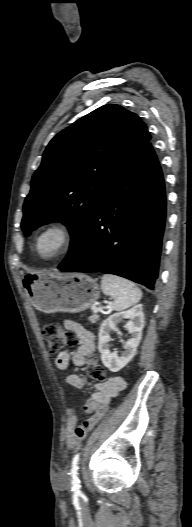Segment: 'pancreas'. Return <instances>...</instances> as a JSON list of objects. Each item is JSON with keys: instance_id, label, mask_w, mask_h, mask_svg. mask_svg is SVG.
Masks as SVG:
<instances>
[{"instance_id": "1", "label": "pancreas", "mask_w": 192, "mask_h": 527, "mask_svg": "<svg viewBox=\"0 0 192 527\" xmlns=\"http://www.w3.org/2000/svg\"><path fill=\"white\" fill-rule=\"evenodd\" d=\"M89 320L92 322V323H95L96 322V318H95V314L90 316L89 317Z\"/></svg>"}]
</instances>
